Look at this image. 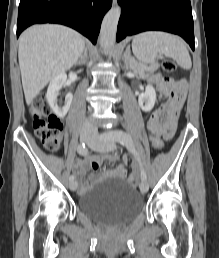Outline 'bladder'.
Returning <instances> with one entry per match:
<instances>
[{"label": "bladder", "mask_w": 219, "mask_h": 258, "mask_svg": "<svg viewBox=\"0 0 219 258\" xmlns=\"http://www.w3.org/2000/svg\"><path fill=\"white\" fill-rule=\"evenodd\" d=\"M144 206L135 188L121 179L106 177L78 198L79 210L111 225H122L138 215Z\"/></svg>", "instance_id": "1"}]
</instances>
